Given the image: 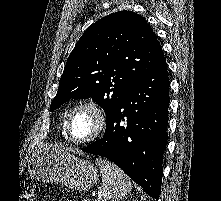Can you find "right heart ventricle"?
<instances>
[{"label":"right heart ventricle","instance_id":"right-heart-ventricle-1","mask_svg":"<svg viewBox=\"0 0 221 201\" xmlns=\"http://www.w3.org/2000/svg\"><path fill=\"white\" fill-rule=\"evenodd\" d=\"M65 120H66V118L64 117V118L62 119V123H61V133H62V135H63L64 138H67V137H66V134H65Z\"/></svg>","mask_w":221,"mask_h":201}]
</instances>
